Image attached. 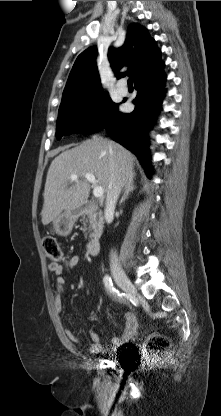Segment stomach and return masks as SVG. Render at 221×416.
<instances>
[{"instance_id":"stomach-1","label":"stomach","mask_w":221,"mask_h":416,"mask_svg":"<svg viewBox=\"0 0 221 416\" xmlns=\"http://www.w3.org/2000/svg\"><path fill=\"white\" fill-rule=\"evenodd\" d=\"M77 217L78 213L70 210L60 214L52 222L54 232L60 236H68L73 229Z\"/></svg>"}]
</instances>
